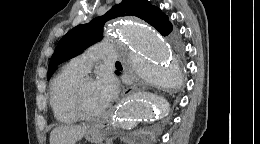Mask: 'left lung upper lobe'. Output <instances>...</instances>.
Instances as JSON below:
<instances>
[{
  "mask_svg": "<svg viewBox=\"0 0 260 144\" xmlns=\"http://www.w3.org/2000/svg\"><path fill=\"white\" fill-rule=\"evenodd\" d=\"M129 15L145 20L163 36L169 35L173 30L168 16L158 7L150 5L148 0H123L102 16L74 27L61 38L51 57L47 78L52 76L60 63L79 55L87 47L101 40L105 22Z\"/></svg>",
  "mask_w": 260,
  "mask_h": 144,
  "instance_id": "1",
  "label": "left lung upper lobe"
}]
</instances>
